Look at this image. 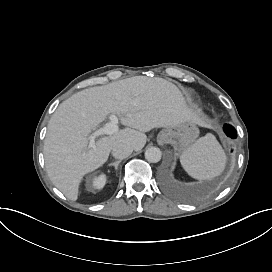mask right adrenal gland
<instances>
[{
	"label": "right adrenal gland",
	"instance_id": "obj_1",
	"mask_svg": "<svg viewBox=\"0 0 272 272\" xmlns=\"http://www.w3.org/2000/svg\"><path fill=\"white\" fill-rule=\"evenodd\" d=\"M120 162H121V160H118L116 162L110 163L109 166H114L115 169H117Z\"/></svg>",
	"mask_w": 272,
	"mask_h": 272
}]
</instances>
